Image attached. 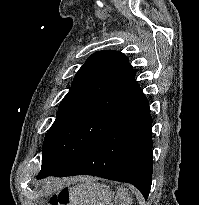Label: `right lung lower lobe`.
Masks as SVG:
<instances>
[{
    "label": "right lung lower lobe",
    "instance_id": "1",
    "mask_svg": "<svg viewBox=\"0 0 199 205\" xmlns=\"http://www.w3.org/2000/svg\"><path fill=\"white\" fill-rule=\"evenodd\" d=\"M132 91L144 106L124 119L98 143L90 146L48 176L93 175L131 183L147 200L152 184V117L148 100L138 84ZM47 177L37 176L38 179Z\"/></svg>",
    "mask_w": 199,
    "mask_h": 205
}]
</instances>
